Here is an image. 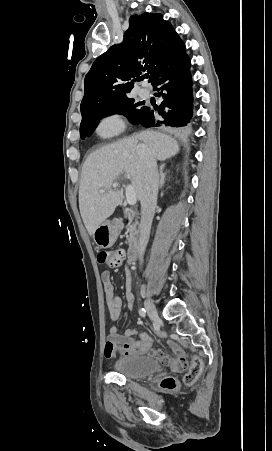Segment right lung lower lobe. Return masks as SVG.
<instances>
[{
  "label": "right lung lower lobe",
  "instance_id": "right-lung-lower-lobe-1",
  "mask_svg": "<svg viewBox=\"0 0 272 451\" xmlns=\"http://www.w3.org/2000/svg\"><path fill=\"white\" fill-rule=\"evenodd\" d=\"M152 86L160 91L157 96L163 99L161 105L156 108L161 117L156 118L153 110L147 108L137 124L147 128L162 127L174 129L179 133L188 132L194 121L193 89L188 55L184 53L163 69Z\"/></svg>",
  "mask_w": 272,
  "mask_h": 451
}]
</instances>
